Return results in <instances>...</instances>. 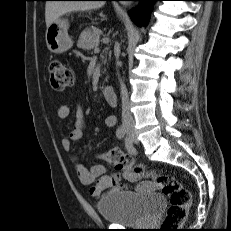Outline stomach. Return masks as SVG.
<instances>
[{
	"label": "stomach",
	"mask_w": 231,
	"mask_h": 231,
	"mask_svg": "<svg viewBox=\"0 0 231 231\" xmlns=\"http://www.w3.org/2000/svg\"><path fill=\"white\" fill-rule=\"evenodd\" d=\"M67 19H58L46 30L45 39L47 48L52 53H63L73 46V40L68 34Z\"/></svg>",
	"instance_id": "stomach-1"
}]
</instances>
